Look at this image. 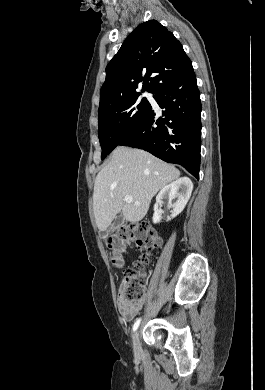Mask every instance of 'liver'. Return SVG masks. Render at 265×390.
<instances>
[{
  "label": "liver",
  "instance_id": "obj_1",
  "mask_svg": "<svg viewBox=\"0 0 265 390\" xmlns=\"http://www.w3.org/2000/svg\"><path fill=\"white\" fill-rule=\"evenodd\" d=\"M179 176L177 168L144 150L117 147L95 179L93 210L98 229L106 230L120 212L126 221L142 220L157 192ZM125 196L133 202L126 203Z\"/></svg>",
  "mask_w": 265,
  "mask_h": 390
}]
</instances>
